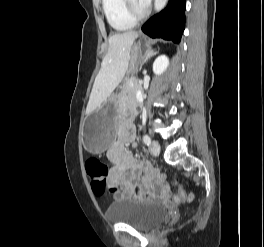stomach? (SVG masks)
<instances>
[{
    "instance_id": "obj_1",
    "label": "stomach",
    "mask_w": 264,
    "mask_h": 247,
    "mask_svg": "<svg viewBox=\"0 0 264 247\" xmlns=\"http://www.w3.org/2000/svg\"><path fill=\"white\" fill-rule=\"evenodd\" d=\"M143 53H148V44L137 42L131 51L133 66L140 64ZM120 95V91L116 92L100 108L87 115L83 120L81 141L88 152L102 153L116 136Z\"/></svg>"
}]
</instances>
